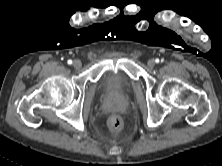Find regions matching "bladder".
<instances>
[{
	"label": "bladder",
	"mask_w": 222,
	"mask_h": 166,
	"mask_svg": "<svg viewBox=\"0 0 222 166\" xmlns=\"http://www.w3.org/2000/svg\"><path fill=\"white\" fill-rule=\"evenodd\" d=\"M99 84L106 96L117 99L127 93L130 80L123 72H108L102 75Z\"/></svg>",
	"instance_id": "31cf9c89"
}]
</instances>
